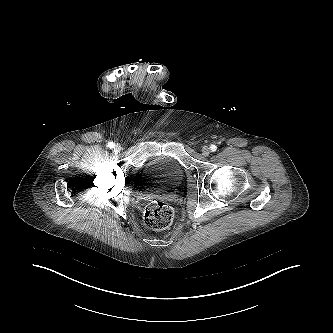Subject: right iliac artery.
Returning <instances> with one entry per match:
<instances>
[{
  "label": "right iliac artery",
  "instance_id": "obj_1",
  "mask_svg": "<svg viewBox=\"0 0 333 333\" xmlns=\"http://www.w3.org/2000/svg\"><path fill=\"white\" fill-rule=\"evenodd\" d=\"M107 146L112 149L114 148L115 144L113 142H109Z\"/></svg>",
  "mask_w": 333,
  "mask_h": 333
}]
</instances>
